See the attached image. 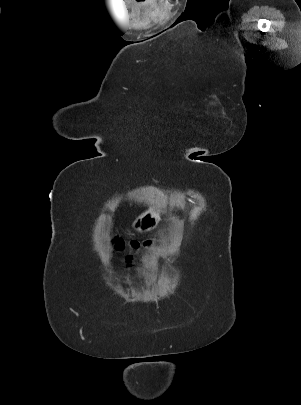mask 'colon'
<instances>
[{"label": "colon", "instance_id": "colon-1", "mask_svg": "<svg viewBox=\"0 0 301 405\" xmlns=\"http://www.w3.org/2000/svg\"><path fill=\"white\" fill-rule=\"evenodd\" d=\"M113 245L114 248L118 251L123 250L125 247L124 241L120 238H114ZM144 245H150V242H146ZM129 247L133 250H137L140 247V243L137 241H132L129 243Z\"/></svg>", "mask_w": 301, "mask_h": 405}]
</instances>
